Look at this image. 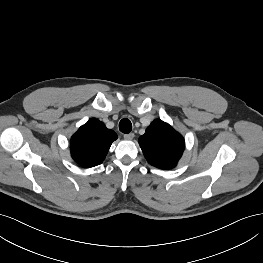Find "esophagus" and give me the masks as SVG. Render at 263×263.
<instances>
[{"mask_svg":"<svg viewBox=\"0 0 263 263\" xmlns=\"http://www.w3.org/2000/svg\"><path fill=\"white\" fill-rule=\"evenodd\" d=\"M123 137L125 140H132L134 138V133L124 134Z\"/></svg>","mask_w":263,"mask_h":263,"instance_id":"1","label":"esophagus"}]
</instances>
